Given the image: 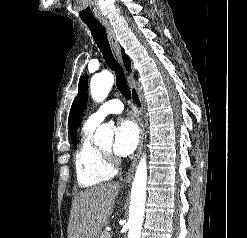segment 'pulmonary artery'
<instances>
[{
	"instance_id": "pulmonary-artery-1",
	"label": "pulmonary artery",
	"mask_w": 247,
	"mask_h": 238,
	"mask_svg": "<svg viewBox=\"0 0 247 238\" xmlns=\"http://www.w3.org/2000/svg\"><path fill=\"white\" fill-rule=\"evenodd\" d=\"M124 109L123 103L119 99H111L101 105L86 120L85 125L89 127H97L109 114L121 113Z\"/></svg>"
}]
</instances>
